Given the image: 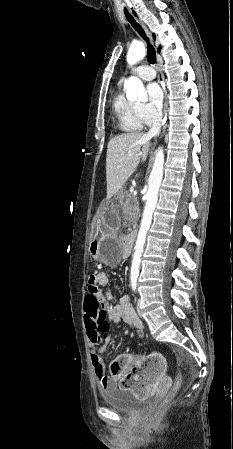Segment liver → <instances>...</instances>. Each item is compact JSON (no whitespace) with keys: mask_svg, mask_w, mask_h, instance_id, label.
I'll return each instance as SVG.
<instances>
[{"mask_svg":"<svg viewBox=\"0 0 233 449\" xmlns=\"http://www.w3.org/2000/svg\"><path fill=\"white\" fill-rule=\"evenodd\" d=\"M146 133H124L112 138L107 146V200L118 193L136 170L140 159L145 162L151 146Z\"/></svg>","mask_w":233,"mask_h":449,"instance_id":"1","label":"liver"}]
</instances>
